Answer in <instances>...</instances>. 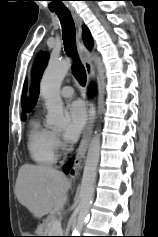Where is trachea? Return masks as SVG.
<instances>
[{"mask_svg": "<svg viewBox=\"0 0 158 237\" xmlns=\"http://www.w3.org/2000/svg\"><path fill=\"white\" fill-rule=\"evenodd\" d=\"M62 26V37L64 49L66 53L74 57V64L72 66V74L81 85L86 83V70L80 60L77 58L76 52V29L70 11L67 8L53 10Z\"/></svg>", "mask_w": 158, "mask_h": 237, "instance_id": "1", "label": "trachea"}]
</instances>
